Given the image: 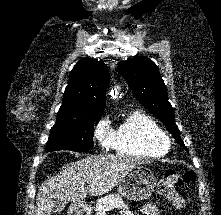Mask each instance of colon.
<instances>
[{
    "mask_svg": "<svg viewBox=\"0 0 221 215\" xmlns=\"http://www.w3.org/2000/svg\"><path fill=\"white\" fill-rule=\"evenodd\" d=\"M195 174L191 170L178 173L175 170H167L158 183V192L161 196L169 200L173 206L182 211L185 208V199L179 195L177 188L182 184L193 181Z\"/></svg>",
    "mask_w": 221,
    "mask_h": 215,
    "instance_id": "colon-1",
    "label": "colon"
}]
</instances>
